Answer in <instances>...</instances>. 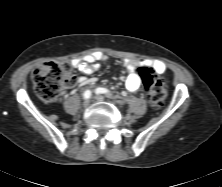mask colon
I'll return each instance as SVG.
<instances>
[{
  "instance_id": "colon-1",
  "label": "colon",
  "mask_w": 222,
  "mask_h": 187,
  "mask_svg": "<svg viewBox=\"0 0 222 187\" xmlns=\"http://www.w3.org/2000/svg\"><path fill=\"white\" fill-rule=\"evenodd\" d=\"M145 94L154 108H159L167 95L164 81L147 67L139 69ZM37 96L44 102H54L62 88L74 82L71 68L66 63L47 62L37 67L32 75Z\"/></svg>"
}]
</instances>
